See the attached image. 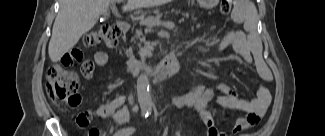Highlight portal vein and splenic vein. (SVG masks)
<instances>
[{
  "label": "portal vein and splenic vein",
  "instance_id": "1",
  "mask_svg": "<svg viewBox=\"0 0 325 136\" xmlns=\"http://www.w3.org/2000/svg\"><path fill=\"white\" fill-rule=\"evenodd\" d=\"M119 2H121L122 0H118ZM146 21L148 22V25H152L154 24V19L153 18H148L146 19ZM157 24H162L164 26L168 25L169 27L173 28L174 27V23L173 22H161L160 20H158L156 22Z\"/></svg>",
  "mask_w": 325,
  "mask_h": 136
}]
</instances>
